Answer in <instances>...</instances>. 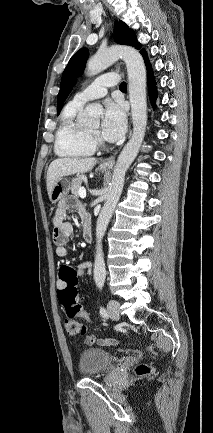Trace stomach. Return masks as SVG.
Returning <instances> with one entry per match:
<instances>
[{
  "label": "stomach",
  "mask_w": 213,
  "mask_h": 433,
  "mask_svg": "<svg viewBox=\"0 0 213 433\" xmlns=\"http://www.w3.org/2000/svg\"><path fill=\"white\" fill-rule=\"evenodd\" d=\"M98 169L102 172L108 169L103 166H99ZM70 190V182L67 178H60L54 185L52 191L49 193V200L55 204L62 198L66 197Z\"/></svg>",
  "instance_id": "1"
}]
</instances>
